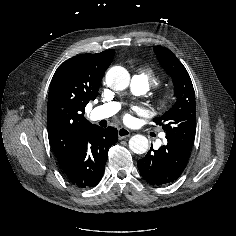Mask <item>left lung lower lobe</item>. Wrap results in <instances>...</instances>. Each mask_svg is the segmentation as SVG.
I'll use <instances>...</instances> for the list:
<instances>
[{
	"instance_id": "1",
	"label": "left lung lower lobe",
	"mask_w": 236,
	"mask_h": 236,
	"mask_svg": "<svg viewBox=\"0 0 236 236\" xmlns=\"http://www.w3.org/2000/svg\"><path fill=\"white\" fill-rule=\"evenodd\" d=\"M188 158V151L168 141L158 150H149L146 156L137 162V166L149 184L164 185L179 178Z\"/></svg>"
}]
</instances>
